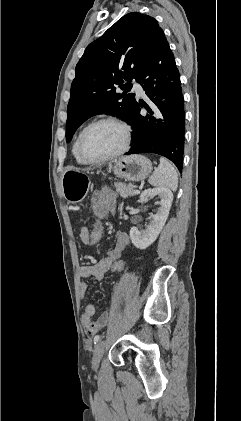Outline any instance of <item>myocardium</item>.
<instances>
[{
    "label": "myocardium",
    "mask_w": 241,
    "mask_h": 421,
    "mask_svg": "<svg viewBox=\"0 0 241 421\" xmlns=\"http://www.w3.org/2000/svg\"><path fill=\"white\" fill-rule=\"evenodd\" d=\"M103 123H111V124H114V125H117L118 127H120L123 131V143L117 151H115V152H113V153H111V154H109L105 157H102V158H99V159H93V158L88 157L86 155L85 151H84V140H85V137H86L87 133L92 128H94L97 125L103 124ZM130 142H131V128L126 122H124L123 120H121L119 118H116V117H111V116L102 117V118H99V119L91 122L90 124H88L82 130V132L80 134V137H79V140H78V153H79L81 159L85 163L91 164V165H99V164H103V163H106L108 161L114 160V159L118 158L119 156L123 155L128 150Z\"/></svg>",
    "instance_id": "1"
}]
</instances>
